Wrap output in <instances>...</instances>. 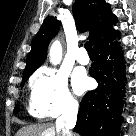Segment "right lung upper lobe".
Listing matches in <instances>:
<instances>
[{
    "label": "right lung upper lobe",
    "instance_id": "cb5924a9",
    "mask_svg": "<svg viewBox=\"0 0 136 136\" xmlns=\"http://www.w3.org/2000/svg\"><path fill=\"white\" fill-rule=\"evenodd\" d=\"M73 14L79 31H89L88 39L94 47L100 42L110 39L119 33L112 27L117 22L110 5L104 0H76ZM59 30V21L48 16L36 34L32 49L29 52L23 78L30 76L45 60L47 47Z\"/></svg>",
    "mask_w": 136,
    "mask_h": 136
}]
</instances>
